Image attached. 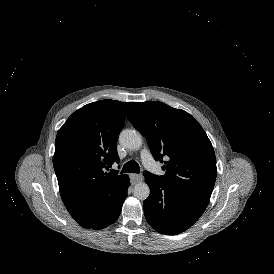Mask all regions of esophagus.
<instances>
[{
    "label": "esophagus",
    "mask_w": 274,
    "mask_h": 274,
    "mask_svg": "<svg viewBox=\"0 0 274 274\" xmlns=\"http://www.w3.org/2000/svg\"><path fill=\"white\" fill-rule=\"evenodd\" d=\"M144 177L141 174H130V182L132 185L143 181Z\"/></svg>",
    "instance_id": "34e87169"
}]
</instances>
